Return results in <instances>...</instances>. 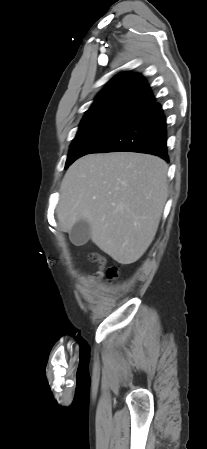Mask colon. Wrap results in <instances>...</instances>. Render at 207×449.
Instances as JSON below:
<instances>
[{
	"label": "colon",
	"instance_id": "obj_1",
	"mask_svg": "<svg viewBox=\"0 0 207 449\" xmlns=\"http://www.w3.org/2000/svg\"><path fill=\"white\" fill-rule=\"evenodd\" d=\"M88 259L90 262L98 264L100 267L105 264L104 258L97 253L89 254ZM106 273L109 278H115L118 274V271L116 268H109Z\"/></svg>",
	"mask_w": 207,
	"mask_h": 449
}]
</instances>
